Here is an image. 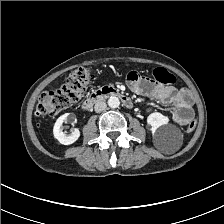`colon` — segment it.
I'll return each mask as SVG.
<instances>
[{"label":"colon","mask_w":224,"mask_h":224,"mask_svg":"<svg viewBox=\"0 0 224 224\" xmlns=\"http://www.w3.org/2000/svg\"><path fill=\"white\" fill-rule=\"evenodd\" d=\"M154 78L163 84H174L175 76L163 67L153 70ZM92 80V72L88 67H78L74 69L68 77L67 82L59 89L44 92L38 101L37 115L54 116L74 104L82 96L83 92ZM196 127V121H191L187 131L191 132Z\"/></svg>","instance_id":"1"}]
</instances>
